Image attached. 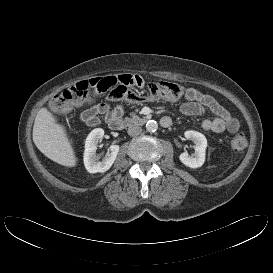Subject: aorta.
Returning a JSON list of instances; mask_svg holds the SVG:
<instances>
[{
    "instance_id": "obj_1",
    "label": "aorta",
    "mask_w": 273,
    "mask_h": 273,
    "mask_svg": "<svg viewBox=\"0 0 273 273\" xmlns=\"http://www.w3.org/2000/svg\"><path fill=\"white\" fill-rule=\"evenodd\" d=\"M158 129V124L155 120H149L146 123V130L149 132H155Z\"/></svg>"
}]
</instances>
